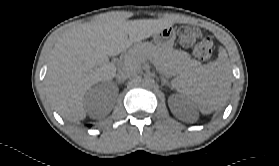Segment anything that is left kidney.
Wrapping results in <instances>:
<instances>
[{"instance_id": "5707ae66", "label": "left kidney", "mask_w": 279, "mask_h": 166, "mask_svg": "<svg viewBox=\"0 0 279 166\" xmlns=\"http://www.w3.org/2000/svg\"><path fill=\"white\" fill-rule=\"evenodd\" d=\"M179 106L180 107H183V108H189V107H191L190 105H189V103L188 102H186V101H184V100H179Z\"/></svg>"}]
</instances>
